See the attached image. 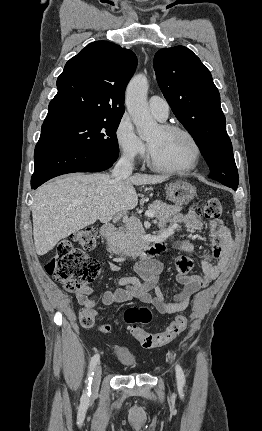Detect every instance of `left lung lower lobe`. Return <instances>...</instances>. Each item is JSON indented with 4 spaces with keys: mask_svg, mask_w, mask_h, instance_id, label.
I'll return each mask as SVG.
<instances>
[{
    "mask_svg": "<svg viewBox=\"0 0 262 431\" xmlns=\"http://www.w3.org/2000/svg\"><path fill=\"white\" fill-rule=\"evenodd\" d=\"M233 190H236L237 188H232Z\"/></svg>",
    "mask_w": 262,
    "mask_h": 431,
    "instance_id": "0a47b994",
    "label": "left lung lower lobe"
}]
</instances>
